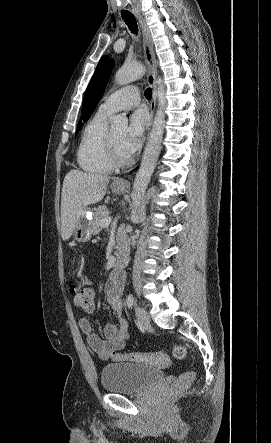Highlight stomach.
<instances>
[{
	"instance_id": "obj_1",
	"label": "stomach",
	"mask_w": 271,
	"mask_h": 443,
	"mask_svg": "<svg viewBox=\"0 0 271 443\" xmlns=\"http://www.w3.org/2000/svg\"><path fill=\"white\" fill-rule=\"evenodd\" d=\"M114 182H119V178L114 180ZM113 184L111 186V190L114 192V194H122V192H124V186H113ZM90 220H93V212L87 210V212H85V214L79 218L78 223L75 225V229L72 233L74 239H77V241H88V239L92 237L93 229Z\"/></svg>"
}]
</instances>
